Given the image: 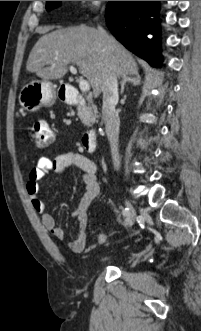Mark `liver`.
<instances>
[{
	"mask_svg": "<svg viewBox=\"0 0 201 331\" xmlns=\"http://www.w3.org/2000/svg\"><path fill=\"white\" fill-rule=\"evenodd\" d=\"M74 64L98 97L110 76L138 74L131 53L103 30L87 26L58 29L43 35L30 52L28 72L43 80L62 78Z\"/></svg>",
	"mask_w": 201,
	"mask_h": 331,
	"instance_id": "obj_1",
	"label": "liver"
}]
</instances>
